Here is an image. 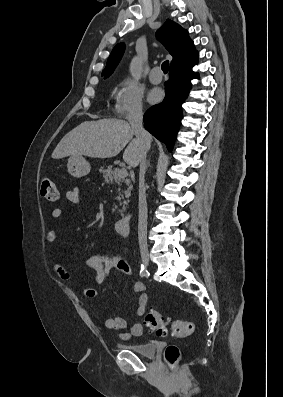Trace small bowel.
Masks as SVG:
<instances>
[{
	"mask_svg": "<svg viewBox=\"0 0 283 397\" xmlns=\"http://www.w3.org/2000/svg\"><path fill=\"white\" fill-rule=\"evenodd\" d=\"M66 199L75 205L81 204V192L78 188H74L65 193ZM62 208H54L51 211V217L53 219H59L63 216ZM57 231L50 230L46 233L45 239L48 243H54L57 240ZM49 260L53 267V270L57 276L63 281H69L72 279V274L58 261L53 253L49 254ZM87 268L95 272L93 278L94 285H100L105 280L107 273L111 269H116L126 275L132 274V268L130 264L124 259L114 254H96L88 257L85 261ZM132 291L138 294L136 315L141 317L145 313L148 295L145 292V285L136 281L132 285ZM96 287H87L84 289V294L89 298H94L97 295ZM103 324L107 329L122 331L127 327L126 319L122 317H107L104 319ZM143 333V324L139 321L135 322L130 332H122L120 337L124 340H128L134 336H140Z\"/></svg>",
	"mask_w": 283,
	"mask_h": 397,
	"instance_id": "obj_1",
	"label": "small bowel"
}]
</instances>
